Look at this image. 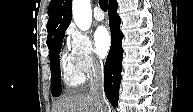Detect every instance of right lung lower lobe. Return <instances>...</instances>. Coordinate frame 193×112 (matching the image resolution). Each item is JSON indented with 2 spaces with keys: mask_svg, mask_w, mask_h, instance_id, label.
Listing matches in <instances>:
<instances>
[{
  "mask_svg": "<svg viewBox=\"0 0 193 112\" xmlns=\"http://www.w3.org/2000/svg\"><path fill=\"white\" fill-rule=\"evenodd\" d=\"M117 8L116 0L109 3L108 15L112 44L104 67V91L114 108L118 105L123 55V33L120 30L121 19L117 14Z\"/></svg>",
  "mask_w": 193,
  "mask_h": 112,
  "instance_id": "1",
  "label": "right lung lower lobe"
}]
</instances>
